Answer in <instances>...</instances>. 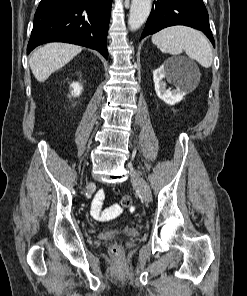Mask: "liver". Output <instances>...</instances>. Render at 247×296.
I'll return each mask as SVG.
<instances>
[{"label":"liver","instance_id":"obj_1","mask_svg":"<svg viewBox=\"0 0 247 296\" xmlns=\"http://www.w3.org/2000/svg\"><path fill=\"white\" fill-rule=\"evenodd\" d=\"M82 47L67 43H48L38 48L30 57V68L39 82H44L58 69L66 65Z\"/></svg>","mask_w":247,"mask_h":296}]
</instances>
